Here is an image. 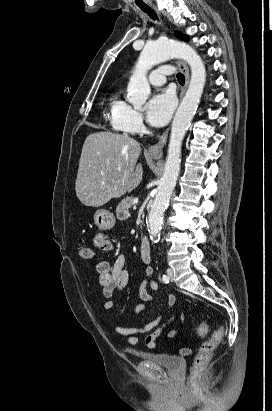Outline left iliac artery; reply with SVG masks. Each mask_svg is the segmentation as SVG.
<instances>
[{"label":"left iliac artery","instance_id":"1","mask_svg":"<svg viewBox=\"0 0 272 411\" xmlns=\"http://www.w3.org/2000/svg\"><path fill=\"white\" fill-rule=\"evenodd\" d=\"M162 280H163V282H165V283H169V277L166 276V275H163Z\"/></svg>","mask_w":272,"mask_h":411}]
</instances>
